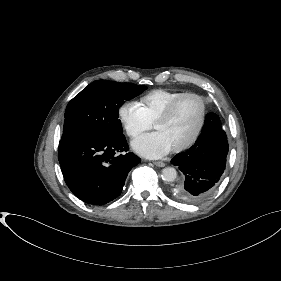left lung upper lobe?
Wrapping results in <instances>:
<instances>
[{"mask_svg":"<svg viewBox=\"0 0 281 281\" xmlns=\"http://www.w3.org/2000/svg\"><path fill=\"white\" fill-rule=\"evenodd\" d=\"M210 115H211V118H212V119L219 120V118H218V116H217L216 114L210 113ZM219 121H220V120H219ZM220 124H221V123H220Z\"/></svg>","mask_w":281,"mask_h":281,"instance_id":"obj_1","label":"left lung upper lobe"}]
</instances>
